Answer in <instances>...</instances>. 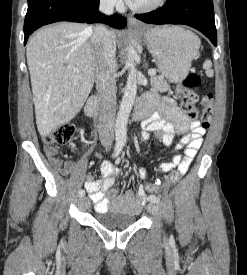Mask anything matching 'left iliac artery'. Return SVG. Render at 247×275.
Masks as SVG:
<instances>
[{
  "label": "left iliac artery",
  "mask_w": 247,
  "mask_h": 275,
  "mask_svg": "<svg viewBox=\"0 0 247 275\" xmlns=\"http://www.w3.org/2000/svg\"><path fill=\"white\" fill-rule=\"evenodd\" d=\"M147 200L150 201V202H157V203L160 202V198L158 196H156V195H150V196H148Z\"/></svg>",
  "instance_id": "1"
}]
</instances>
